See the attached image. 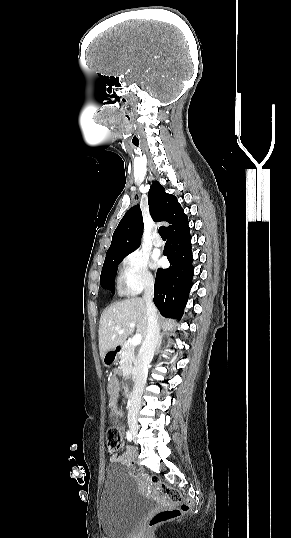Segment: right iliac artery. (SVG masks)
Instances as JSON below:
<instances>
[{"label":"right iliac artery","instance_id":"82829eb1","mask_svg":"<svg viewBox=\"0 0 291 538\" xmlns=\"http://www.w3.org/2000/svg\"><path fill=\"white\" fill-rule=\"evenodd\" d=\"M126 438H127L128 441H130V442L132 441V434L130 433V431H127Z\"/></svg>","mask_w":291,"mask_h":538}]
</instances>
